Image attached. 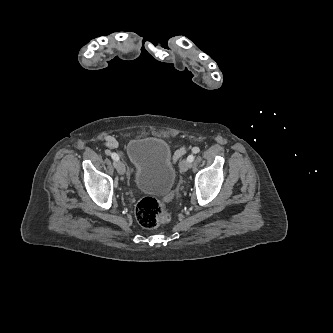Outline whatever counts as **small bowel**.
I'll return each mask as SVG.
<instances>
[{
  "label": "small bowel",
  "instance_id": "obj_1",
  "mask_svg": "<svg viewBox=\"0 0 333 333\" xmlns=\"http://www.w3.org/2000/svg\"><path fill=\"white\" fill-rule=\"evenodd\" d=\"M105 144L108 148H115L117 145L116 140L112 136H107L105 138ZM185 152V149L183 147L178 148L174 155V161H177ZM194 152H197L196 149H194Z\"/></svg>",
  "mask_w": 333,
  "mask_h": 333
}]
</instances>
